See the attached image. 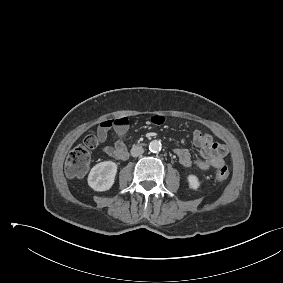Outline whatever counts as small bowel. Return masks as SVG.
I'll return each instance as SVG.
<instances>
[{
  "label": "small bowel",
  "instance_id": "c3829d8e",
  "mask_svg": "<svg viewBox=\"0 0 283 283\" xmlns=\"http://www.w3.org/2000/svg\"><path fill=\"white\" fill-rule=\"evenodd\" d=\"M151 121L156 125H161L164 122V118L161 115H155ZM128 128V119L126 117L103 121L97 132L99 142L105 143L110 130H113L115 133L116 142L114 146H104L102 152L117 160H125L128 157V150L124 143V138ZM193 142L199 149L196 158H193L191 153L185 148L174 149V153L182 166L191 167L195 165L199 170L206 172L212 168H220L225 165L228 149L224 144L215 142L210 134L203 133L197 129L193 132Z\"/></svg>",
  "mask_w": 283,
  "mask_h": 283
}]
</instances>
